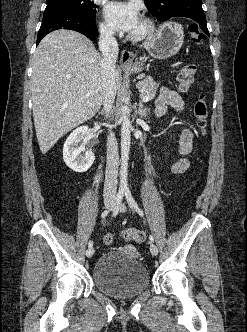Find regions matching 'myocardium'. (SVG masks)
<instances>
[{
    "mask_svg": "<svg viewBox=\"0 0 247 332\" xmlns=\"http://www.w3.org/2000/svg\"><path fill=\"white\" fill-rule=\"evenodd\" d=\"M141 22L143 24L142 30L139 32L132 33L129 36L130 40L133 42L143 41L154 33L155 25L152 19H150L149 17H143L141 19Z\"/></svg>",
    "mask_w": 247,
    "mask_h": 332,
    "instance_id": "myocardium-1",
    "label": "myocardium"
}]
</instances>
